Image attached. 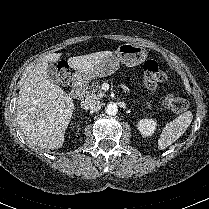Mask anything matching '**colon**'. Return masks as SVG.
I'll return each mask as SVG.
<instances>
[{"label": "colon", "instance_id": "obj_1", "mask_svg": "<svg viewBox=\"0 0 209 209\" xmlns=\"http://www.w3.org/2000/svg\"><path fill=\"white\" fill-rule=\"evenodd\" d=\"M143 83L149 90H154L157 85L166 80V74L160 70L158 63L153 59H148L143 64ZM58 75L60 81L67 85L70 81V69L66 62L58 64ZM163 104L166 108L175 113H182L188 109L189 103L186 99L168 95L164 98Z\"/></svg>", "mask_w": 209, "mask_h": 209}]
</instances>
